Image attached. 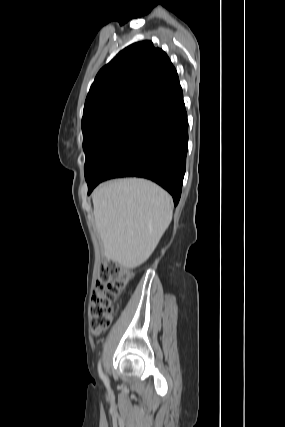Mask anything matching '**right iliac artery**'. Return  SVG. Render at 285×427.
<instances>
[{"label":"right iliac artery","mask_w":285,"mask_h":427,"mask_svg":"<svg viewBox=\"0 0 285 427\" xmlns=\"http://www.w3.org/2000/svg\"><path fill=\"white\" fill-rule=\"evenodd\" d=\"M98 371H99V375H100V377H101V379L105 382V384L107 385L108 384V382H107V379H106V377L104 376V374H103V372H102V369H101V363L99 362V364H98Z\"/></svg>","instance_id":"82829eb1"}]
</instances>
